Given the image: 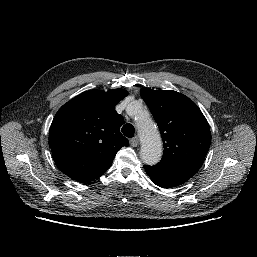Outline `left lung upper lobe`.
<instances>
[{"mask_svg":"<svg viewBox=\"0 0 257 257\" xmlns=\"http://www.w3.org/2000/svg\"><path fill=\"white\" fill-rule=\"evenodd\" d=\"M163 139L164 153L156 168L191 178L202 166L211 143V132L198 106L171 90L141 89Z\"/></svg>","mask_w":257,"mask_h":257,"instance_id":"left-lung-upper-lobe-1","label":"left lung upper lobe"}]
</instances>
